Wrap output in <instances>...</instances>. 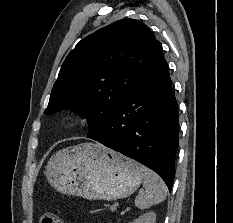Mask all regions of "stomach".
<instances>
[{"label": "stomach", "instance_id": "0dacf381", "mask_svg": "<svg viewBox=\"0 0 233 223\" xmlns=\"http://www.w3.org/2000/svg\"><path fill=\"white\" fill-rule=\"evenodd\" d=\"M143 169L134 159L100 143H79L50 157L46 177L61 193L112 201L138 189Z\"/></svg>", "mask_w": 233, "mask_h": 223}]
</instances>
